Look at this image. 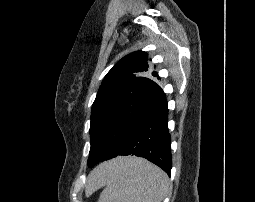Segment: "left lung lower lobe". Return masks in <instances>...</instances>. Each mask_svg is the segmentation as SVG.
<instances>
[{"instance_id":"obj_1","label":"left lung lower lobe","mask_w":255,"mask_h":202,"mask_svg":"<svg viewBox=\"0 0 255 202\" xmlns=\"http://www.w3.org/2000/svg\"><path fill=\"white\" fill-rule=\"evenodd\" d=\"M167 115L168 107L165 100L142 121L118 155L144 157L170 176L172 157Z\"/></svg>"}]
</instances>
